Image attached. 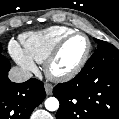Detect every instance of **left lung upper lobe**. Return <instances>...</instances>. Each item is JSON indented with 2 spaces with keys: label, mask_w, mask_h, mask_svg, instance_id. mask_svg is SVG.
Returning a JSON list of instances; mask_svg holds the SVG:
<instances>
[{
  "label": "left lung upper lobe",
  "mask_w": 119,
  "mask_h": 119,
  "mask_svg": "<svg viewBox=\"0 0 119 119\" xmlns=\"http://www.w3.org/2000/svg\"><path fill=\"white\" fill-rule=\"evenodd\" d=\"M94 40L97 43V49L95 51L100 50L102 47H104L105 45L108 44V42H105V41H102V40H99V39H94Z\"/></svg>",
  "instance_id": "left-lung-upper-lobe-1"
}]
</instances>
